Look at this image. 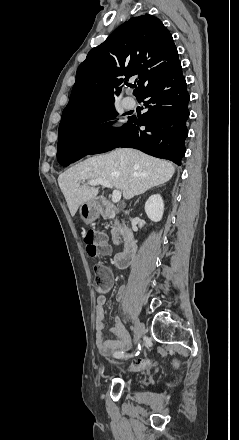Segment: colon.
Segmentation results:
<instances>
[{"label":"colon","mask_w":239,"mask_h":440,"mask_svg":"<svg viewBox=\"0 0 239 440\" xmlns=\"http://www.w3.org/2000/svg\"><path fill=\"white\" fill-rule=\"evenodd\" d=\"M84 241L87 247V253L90 257L96 258L109 252L106 235L100 230H88L85 233ZM95 283L99 291H103L109 282L107 269L103 265L95 266ZM150 367L148 360H139L129 366L130 371H141Z\"/></svg>","instance_id":"5ec220e1"}]
</instances>
